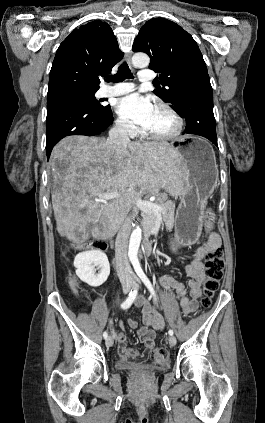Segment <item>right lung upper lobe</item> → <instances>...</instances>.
Masks as SVG:
<instances>
[{
    "instance_id": "obj_1",
    "label": "right lung upper lobe",
    "mask_w": 265,
    "mask_h": 423,
    "mask_svg": "<svg viewBox=\"0 0 265 423\" xmlns=\"http://www.w3.org/2000/svg\"><path fill=\"white\" fill-rule=\"evenodd\" d=\"M122 57L107 23L95 20L82 25L72 31L56 52L47 96L76 89L98 90L99 76L110 74Z\"/></svg>"
}]
</instances>
